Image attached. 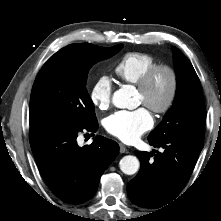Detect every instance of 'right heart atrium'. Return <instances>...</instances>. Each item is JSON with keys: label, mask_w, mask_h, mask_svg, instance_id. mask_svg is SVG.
<instances>
[{"label": "right heart atrium", "mask_w": 221, "mask_h": 221, "mask_svg": "<svg viewBox=\"0 0 221 221\" xmlns=\"http://www.w3.org/2000/svg\"><path fill=\"white\" fill-rule=\"evenodd\" d=\"M113 85L108 76H100L93 83L89 98L91 103L99 110H106L112 101Z\"/></svg>", "instance_id": "d8ad5b80"}]
</instances>
